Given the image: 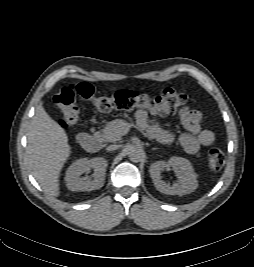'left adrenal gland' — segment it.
<instances>
[{
    "mask_svg": "<svg viewBox=\"0 0 254 267\" xmlns=\"http://www.w3.org/2000/svg\"><path fill=\"white\" fill-rule=\"evenodd\" d=\"M158 148H152V150H157Z\"/></svg>",
    "mask_w": 254,
    "mask_h": 267,
    "instance_id": "1",
    "label": "left adrenal gland"
}]
</instances>
